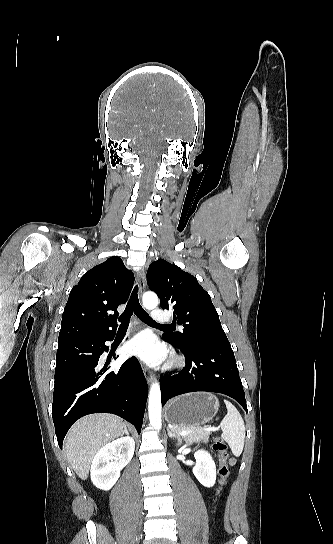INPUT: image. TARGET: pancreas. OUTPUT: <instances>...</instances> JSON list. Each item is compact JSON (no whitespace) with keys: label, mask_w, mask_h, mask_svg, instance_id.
Returning a JSON list of instances; mask_svg holds the SVG:
<instances>
[{"label":"pancreas","mask_w":333,"mask_h":544,"mask_svg":"<svg viewBox=\"0 0 333 544\" xmlns=\"http://www.w3.org/2000/svg\"><path fill=\"white\" fill-rule=\"evenodd\" d=\"M172 431H175V432L190 431L185 436H183V438L186 441H193V442L208 441L210 436V431L203 430V428L200 426L173 428Z\"/></svg>","instance_id":"cf45deb5"}]
</instances>
